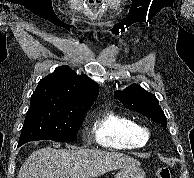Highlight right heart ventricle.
Returning <instances> with one entry per match:
<instances>
[{
    "label": "right heart ventricle",
    "mask_w": 194,
    "mask_h": 178,
    "mask_svg": "<svg viewBox=\"0 0 194 178\" xmlns=\"http://www.w3.org/2000/svg\"><path fill=\"white\" fill-rule=\"evenodd\" d=\"M92 131L96 142L105 148L132 150L146 144L138 133V124L132 118L111 110L93 121Z\"/></svg>",
    "instance_id": "e07e8e85"
}]
</instances>
